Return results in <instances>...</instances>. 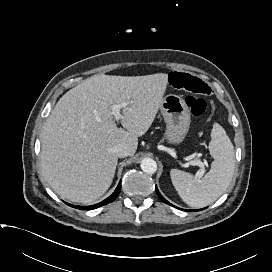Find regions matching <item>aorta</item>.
<instances>
[{"label": "aorta", "mask_w": 272, "mask_h": 272, "mask_svg": "<svg viewBox=\"0 0 272 272\" xmlns=\"http://www.w3.org/2000/svg\"><path fill=\"white\" fill-rule=\"evenodd\" d=\"M140 166L143 172L147 174H154L157 171V163L152 158H144Z\"/></svg>", "instance_id": "aorta-1"}]
</instances>
